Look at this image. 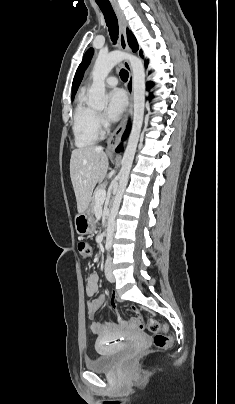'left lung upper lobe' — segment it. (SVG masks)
Listing matches in <instances>:
<instances>
[{"mask_svg":"<svg viewBox=\"0 0 235 404\" xmlns=\"http://www.w3.org/2000/svg\"><path fill=\"white\" fill-rule=\"evenodd\" d=\"M131 39H132V48L133 51L136 52L138 51V44L137 41L135 39V37L133 36V34L131 33ZM140 55L142 56V51H140ZM93 56V49L90 48L86 54L84 55L83 61L81 62V64L79 65L77 71H76V75L74 77V81H73V85L75 83V81L77 80V78L79 77L80 73L88 66V64L90 63V60Z\"/></svg>","mask_w":235,"mask_h":404,"instance_id":"1","label":"left lung upper lobe"}]
</instances>
